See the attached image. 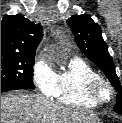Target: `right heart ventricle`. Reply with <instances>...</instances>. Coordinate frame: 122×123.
<instances>
[{
	"label": "right heart ventricle",
	"mask_w": 122,
	"mask_h": 123,
	"mask_svg": "<svg viewBox=\"0 0 122 123\" xmlns=\"http://www.w3.org/2000/svg\"><path fill=\"white\" fill-rule=\"evenodd\" d=\"M96 70L85 60L75 57L66 68L56 74L53 93L57 102L77 108H95L97 103L85 95V85L91 78L98 77Z\"/></svg>",
	"instance_id": "e07e8e85"
}]
</instances>
